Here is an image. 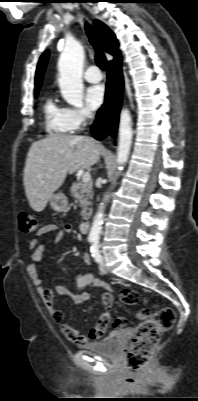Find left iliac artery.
I'll return each instance as SVG.
<instances>
[{"label":"left iliac artery","mask_w":198,"mask_h":401,"mask_svg":"<svg viewBox=\"0 0 198 401\" xmlns=\"http://www.w3.org/2000/svg\"><path fill=\"white\" fill-rule=\"evenodd\" d=\"M91 253L93 258L96 260V262L101 261V255L99 252V245H98V240L93 241V245L91 246Z\"/></svg>","instance_id":"left-iliac-artery-1"}]
</instances>
